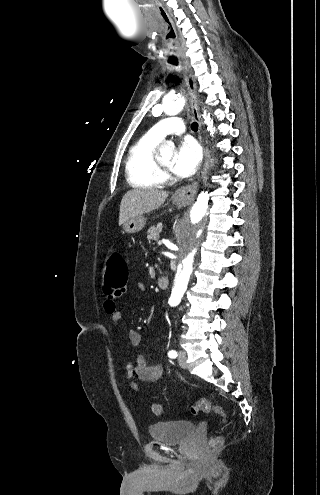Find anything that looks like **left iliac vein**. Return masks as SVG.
I'll return each mask as SVG.
<instances>
[{
    "mask_svg": "<svg viewBox=\"0 0 320 495\" xmlns=\"http://www.w3.org/2000/svg\"><path fill=\"white\" fill-rule=\"evenodd\" d=\"M178 363L181 368L183 369L187 368V355L185 351L182 350L178 351Z\"/></svg>",
    "mask_w": 320,
    "mask_h": 495,
    "instance_id": "left-iliac-vein-1",
    "label": "left iliac vein"
}]
</instances>
